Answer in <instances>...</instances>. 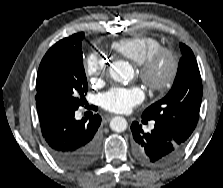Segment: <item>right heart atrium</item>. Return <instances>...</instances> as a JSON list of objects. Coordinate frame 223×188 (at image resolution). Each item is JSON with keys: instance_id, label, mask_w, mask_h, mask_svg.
<instances>
[{"instance_id": "1", "label": "right heart atrium", "mask_w": 223, "mask_h": 188, "mask_svg": "<svg viewBox=\"0 0 223 188\" xmlns=\"http://www.w3.org/2000/svg\"><path fill=\"white\" fill-rule=\"evenodd\" d=\"M107 69V60L98 53H91L85 60V72L88 77L97 80Z\"/></svg>"}]
</instances>
